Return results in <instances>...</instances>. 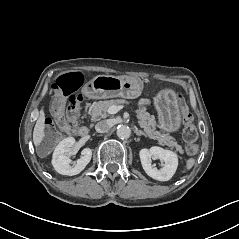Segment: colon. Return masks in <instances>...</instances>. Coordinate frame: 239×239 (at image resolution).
I'll return each instance as SVG.
<instances>
[{
	"label": "colon",
	"instance_id": "colon-1",
	"mask_svg": "<svg viewBox=\"0 0 239 239\" xmlns=\"http://www.w3.org/2000/svg\"><path fill=\"white\" fill-rule=\"evenodd\" d=\"M82 81L80 74L69 73L61 76L54 85V120H49L46 125V133L50 139H57L60 131L70 133L76 126L81 101L83 100L82 95L76 94V92ZM177 100L182 114L186 152L192 155L198 150V132L187 104L180 96L177 97ZM66 102L67 104H65Z\"/></svg>",
	"mask_w": 239,
	"mask_h": 239
}]
</instances>
